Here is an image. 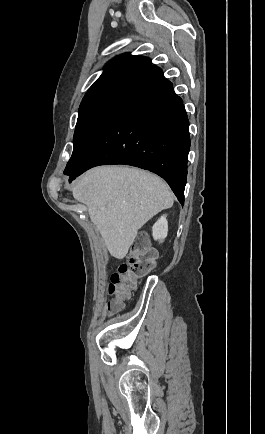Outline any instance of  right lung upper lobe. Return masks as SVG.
<instances>
[{"label": "right lung upper lobe", "mask_w": 265, "mask_h": 434, "mask_svg": "<svg viewBox=\"0 0 265 434\" xmlns=\"http://www.w3.org/2000/svg\"><path fill=\"white\" fill-rule=\"evenodd\" d=\"M151 64V60L147 57L125 53L120 56H116L109 61L104 67V71L97 81L117 75L135 76L137 73L151 66Z\"/></svg>", "instance_id": "obj_1"}]
</instances>
